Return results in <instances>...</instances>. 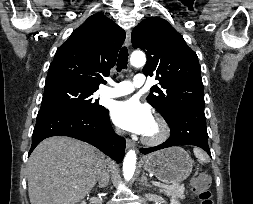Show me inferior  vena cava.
Listing matches in <instances>:
<instances>
[{
	"mask_svg": "<svg viewBox=\"0 0 253 204\" xmlns=\"http://www.w3.org/2000/svg\"><path fill=\"white\" fill-rule=\"evenodd\" d=\"M108 181H109V168L105 165L99 177L101 187L107 186Z\"/></svg>",
	"mask_w": 253,
	"mask_h": 204,
	"instance_id": "inferior-vena-cava-1",
	"label": "inferior vena cava"
}]
</instances>
